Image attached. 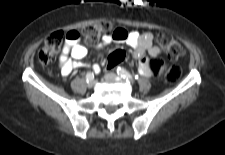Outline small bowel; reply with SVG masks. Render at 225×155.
Instances as JSON below:
<instances>
[{"label": "small bowel", "mask_w": 225, "mask_h": 155, "mask_svg": "<svg viewBox=\"0 0 225 155\" xmlns=\"http://www.w3.org/2000/svg\"><path fill=\"white\" fill-rule=\"evenodd\" d=\"M66 39L59 59L61 72L65 76L71 74L74 69L83 66L81 60L87 54V48L80 44L82 40L80 30H69ZM111 42H123L129 45L133 49V57L138 60L139 73L145 77H152L147 62L150 58H157L161 54V49L154 44L152 33H139L127 31L124 28H116L111 33L104 35L96 48L100 49ZM93 68L94 71H99L98 66Z\"/></svg>", "instance_id": "obj_1"}]
</instances>
